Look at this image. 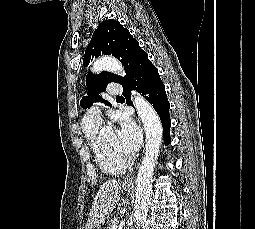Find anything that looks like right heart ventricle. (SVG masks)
Returning a JSON list of instances; mask_svg holds the SVG:
<instances>
[{
  "instance_id": "obj_1",
  "label": "right heart ventricle",
  "mask_w": 255,
  "mask_h": 229,
  "mask_svg": "<svg viewBox=\"0 0 255 229\" xmlns=\"http://www.w3.org/2000/svg\"><path fill=\"white\" fill-rule=\"evenodd\" d=\"M83 132L87 139L94 161L99 169L107 175L118 176L124 173L127 165L118 161L106 148L98 137L100 126H84Z\"/></svg>"
}]
</instances>
